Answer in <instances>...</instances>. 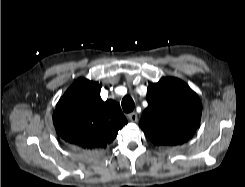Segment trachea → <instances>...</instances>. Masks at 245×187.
I'll list each match as a JSON object with an SVG mask.
<instances>
[{
	"mask_svg": "<svg viewBox=\"0 0 245 187\" xmlns=\"http://www.w3.org/2000/svg\"><path fill=\"white\" fill-rule=\"evenodd\" d=\"M121 104H122L123 111L126 113L133 111L135 106L133 99L128 95L122 99Z\"/></svg>",
	"mask_w": 245,
	"mask_h": 187,
	"instance_id": "1",
	"label": "trachea"
}]
</instances>
